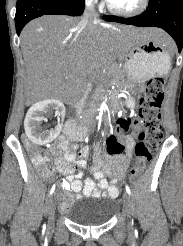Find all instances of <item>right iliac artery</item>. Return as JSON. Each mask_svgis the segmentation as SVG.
<instances>
[{
	"label": "right iliac artery",
	"mask_w": 183,
	"mask_h": 246,
	"mask_svg": "<svg viewBox=\"0 0 183 246\" xmlns=\"http://www.w3.org/2000/svg\"><path fill=\"white\" fill-rule=\"evenodd\" d=\"M54 190H55V184L52 186V188H51V190H50V195L53 194Z\"/></svg>",
	"instance_id": "right-iliac-artery-1"
}]
</instances>
